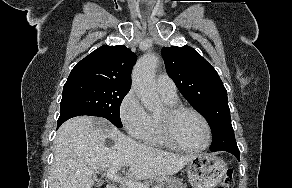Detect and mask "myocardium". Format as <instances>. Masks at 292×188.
Returning a JSON list of instances; mask_svg holds the SVG:
<instances>
[{
	"mask_svg": "<svg viewBox=\"0 0 292 188\" xmlns=\"http://www.w3.org/2000/svg\"><path fill=\"white\" fill-rule=\"evenodd\" d=\"M184 113H192L196 115L204 124L206 130V140L204 144L197 148H188L183 146L175 137L173 132V124L175 119ZM157 124L159 128V132L163 140L172 148L177 149L179 151L187 152V153H199L206 150L212 140V129L210 123L207 118L198 110L184 106V105H168L163 115L157 116Z\"/></svg>",
	"mask_w": 292,
	"mask_h": 188,
	"instance_id": "myocardium-1",
	"label": "myocardium"
}]
</instances>
